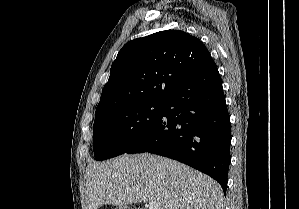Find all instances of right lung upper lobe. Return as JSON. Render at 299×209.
Returning <instances> with one entry per match:
<instances>
[{
	"label": "right lung upper lobe",
	"instance_id": "cb5924a9",
	"mask_svg": "<svg viewBox=\"0 0 299 209\" xmlns=\"http://www.w3.org/2000/svg\"><path fill=\"white\" fill-rule=\"evenodd\" d=\"M217 69L196 37L165 30L132 40L119 51L110 70L96 115L142 102H165L173 90L200 71Z\"/></svg>",
	"mask_w": 299,
	"mask_h": 209
}]
</instances>
